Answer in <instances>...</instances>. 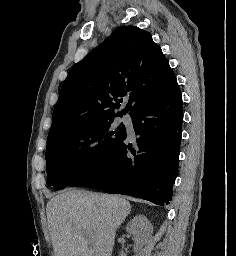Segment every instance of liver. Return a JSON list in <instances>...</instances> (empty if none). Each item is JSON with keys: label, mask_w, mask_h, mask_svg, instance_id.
Masks as SVG:
<instances>
[{"label": "liver", "mask_w": 236, "mask_h": 256, "mask_svg": "<svg viewBox=\"0 0 236 256\" xmlns=\"http://www.w3.org/2000/svg\"><path fill=\"white\" fill-rule=\"evenodd\" d=\"M130 210L129 202L120 196L83 190L52 196L46 216L55 256H111L116 230Z\"/></svg>", "instance_id": "liver-1"}]
</instances>
